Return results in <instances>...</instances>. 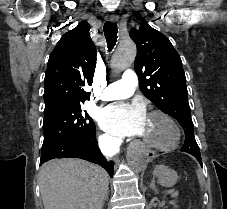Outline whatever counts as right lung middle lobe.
Wrapping results in <instances>:
<instances>
[{
    "instance_id": "obj_1",
    "label": "right lung middle lobe",
    "mask_w": 227,
    "mask_h": 209,
    "mask_svg": "<svg viewBox=\"0 0 227 209\" xmlns=\"http://www.w3.org/2000/svg\"><path fill=\"white\" fill-rule=\"evenodd\" d=\"M86 99L53 98L45 102L43 146L69 136L89 135L95 124L81 109Z\"/></svg>"
}]
</instances>
